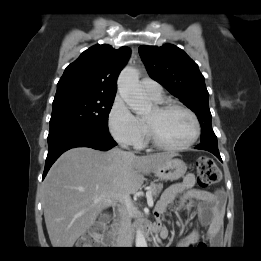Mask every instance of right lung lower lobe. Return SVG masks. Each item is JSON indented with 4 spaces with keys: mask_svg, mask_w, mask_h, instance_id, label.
I'll return each mask as SVG.
<instances>
[{
    "mask_svg": "<svg viewBox=\"0 0 261 261\" xmlns=\"http://www.w3.org/2000/svg\"><path fill=\"white\" fill-rule=\"evenodd\" d=\"M48 155L43 178L52 164L65 151L75 147H90L107 151L116 146L109 131L90 126H69L50 130L48 135Z\"/></svg>",
    "mask_w": 261,
    "mask_h": 261,
    "instance_id": "98d812e1",
    "label": "right lung lower lobe"
}]
</instances>
